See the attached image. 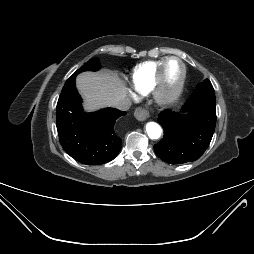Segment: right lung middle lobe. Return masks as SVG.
Here are the masks:
<instances>
[{
    "instance_id": "obj_1",
    "label": "right lung middle lobe",
    "mask_w": 254,
    "mask_h": 254,
    "mask_svg": "<svg viewBox=\"0 0 254 254\" xmlns=\"http://www.w3.org/2000/svg\"><path fill=\"white\" fill-rule=\"evenodd\" d=\"M100 69V64L98 62V59H90L86 64H84L80 69H78L72 76H77V74L83 72V71H97ZM71 76V77H72Z\"/></svg>"
}]
</instances>
